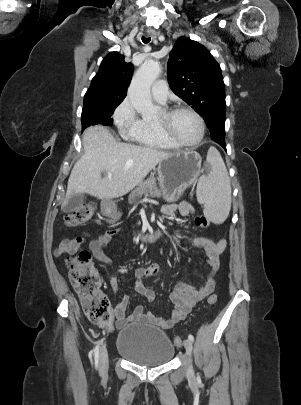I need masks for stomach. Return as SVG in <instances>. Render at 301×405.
<instances>
[{"label": "stomach", "mask_w": 301, "mask_h": 405, "mask_svg": "<svg viewBox=\"0 0 301 405\" xmlns=\"http://www.w3.org/2000/svg\"><path fill=\"white\" fill-rule=\"evenodd\" d=\"M201 161L200 154L189 149L170 153L162 159L157 168L160 196L168 202L178 200L198 180ZM112 218H117L115 210Z\"/></svg>", "instance_id": "1"}]
</instances>
